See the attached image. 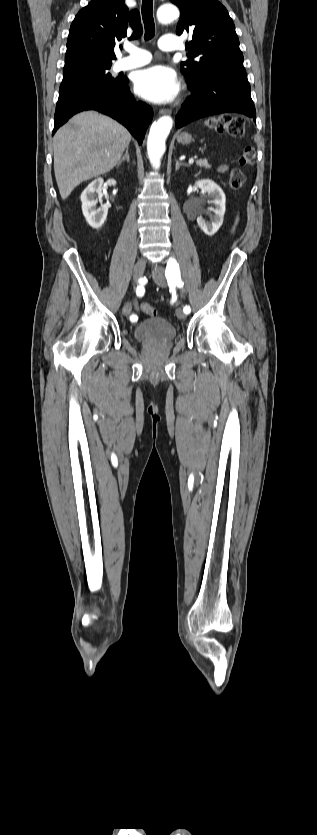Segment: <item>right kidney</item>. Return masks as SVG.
<instances>
[{"label":"right kidney","instance_id":"right-kidney-1","mask_svg":"<svg viewBox=\"0 0 317 835\" xmlns=\"http://www.w3.org/2000/svg\"><path fill=\"white\" fill-rule=\"evenodd\" d=\"M103 184L104 180L97 178L81 194L83 215L87 223L94 229H98L104 224L108 214V205L102 204L101 201ZM98 201L101 203L99 207H97Z\"/></svg>","mask_w":317,"mask_h":835}]
</instances>
